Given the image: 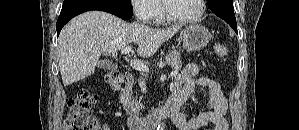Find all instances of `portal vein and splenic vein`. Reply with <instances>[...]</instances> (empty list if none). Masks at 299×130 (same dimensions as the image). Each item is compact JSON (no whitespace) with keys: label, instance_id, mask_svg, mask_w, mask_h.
Segmentation results:
<instances>
[{"label":"portal vein and splenic vein","instance_id":"obj_1","mask_svg":"<svg viewBox=\"0 0 299 130\" xmlns=\"http://www.w3.org/2000/svg\"><path fill=\"white\" fill-rule=\"evenodd\" d=\"M131 51V46H126L121 50L122 54H128ZM130 65L133 69L143 71V72H148L149 68L144 65L142 62H139L137 60H131ZM178 74V70H174L171 72V77H174Z\"/></svg>","mask_w":299,"mask_h":130}]
</instances>
